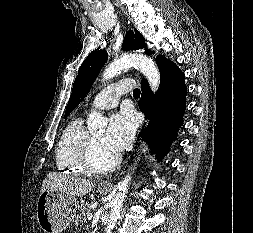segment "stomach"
<instances>
[{"label": "stomach", "mask_w": 253, "mask_h": 233, "mask_svg": "<svg viewBox=\"0 0 253 233\" xmlns=\"http://www.w3.org/2000/svg\"><path fill=\"white\" fill-rule=\"evenodd\" d=\"M100 193L108 190L99 187ZM78 203L75 197L56 191L41 192L37 201V220L44 233H61L74 217Z\"/></svg>", "instance_id": "stomach-1"}]
</instances>
